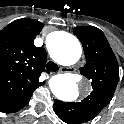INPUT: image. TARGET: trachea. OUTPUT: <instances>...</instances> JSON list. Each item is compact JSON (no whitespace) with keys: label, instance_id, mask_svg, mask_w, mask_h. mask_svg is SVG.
I'll use <instances>...</instances> for the list:
<instances>
[{"label":"trachea","instance_id":"trachea-1","mask_svg":"<svg viewBox=\"0 0 124 124\" xmlns=\"http://www.w3.org/2000/svg\"><path fill=\"white\" fill-rule=\"evenodd\" d=\"M46 69L52 72H56L59 70L58 66L52 61L47 63Z\"/></svg>","mask_w":124,"mask_h":124}]
</instances>
